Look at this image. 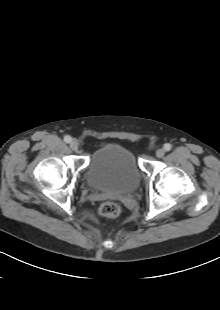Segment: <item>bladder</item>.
Returning <instances> with one entry per match:
<instances>
[{"label":"bladder","mask_w":220,"mask_h":310,"mask_svg":"<svg viewBox=\"0 0 220 310\" xmlns=\"http://www.w3.org/2000/svg\"><path fill=\"white\" fill-rule=\"evenodd\" d=\"M86 181L96 191L128 194L139 186L140 171L128 149L109 144L92 153L86 167Z\"/></svg>","instance_id":"obj_1"}]
</instances>
